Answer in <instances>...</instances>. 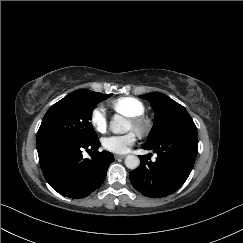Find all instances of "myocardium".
<instances>
[{"mask_svg": "<svg viewBox=\"0 0 243 243\" xmlns=\"http://www.w3.org/2000/svg\"><path fill=\"white\" fill-rule=\"evenodd\" d=\"M129 121L133 124V130L139 137L143 138L149 134L151 129L150 122L144 116L129 117Z\"/></svg>", "mask_w": 243, "mask_h": 243, "instance_id": "obj_1", "label": "myocardium"}]
</instances>
